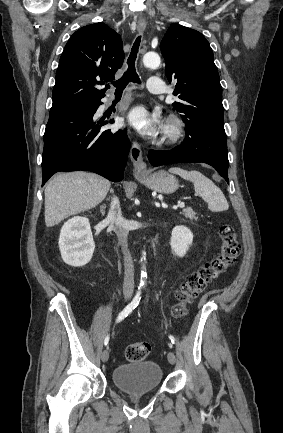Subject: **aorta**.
Masks as SVG:
<instances>
[{"mask_svg": "<svg viewBox=\"0 0 283 433\" xmlns=\"http://www.w3.org/2000/svg\"><path fill=\"white\" fill-rule=\"evenodd\" d=\"M143 63H144V65L146 67L156 68V67H158L160 65L161 60H160V57H159V55L157 53H155V52H148L143 57ZM146 278H147V273L145 272V270H142L141 271L140 286L145 285Z\"/></svg>", "mask_w": 283, "mask_h": 433, "instance_id": "1", "label": "aorta"}]
</instances>
